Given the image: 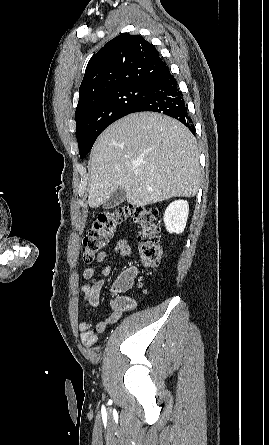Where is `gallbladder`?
Returning a JSON list of instances; mask_svg holds the SVG:
<instances>
[{"mask_svg": "<svg viewBox=\"0 0 269 445\" xmlns=\"http://www.w3.org/2000/svg\"><path fill=\"white\" fill-rule=\"evenodd\" d=\"M126 199V193L123 188L116 189L112 195L104 202L103 208L112 209L122 204Z\"/></svg>", "mask_w": 269, "mask_h": 445, "instance_id": "1", "label": "gallbladder"}]
</instances>
